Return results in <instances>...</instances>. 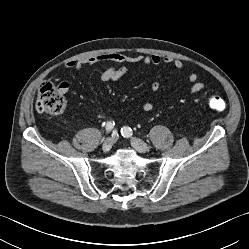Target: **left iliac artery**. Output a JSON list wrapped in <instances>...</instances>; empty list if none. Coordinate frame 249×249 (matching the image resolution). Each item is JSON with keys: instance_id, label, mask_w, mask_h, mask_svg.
Instances as JSON below:
<instances>
[{"instance_id": "left-iliac-artery-1", "label": "left iliac artery", "mask_w": 249, "mask_h": 249, "mask_svg": "<svg viewBox=\"0 0 249 249\" xmlns=\"http://www.w3.org/2000/svg\"><path fill=\"white\" fill-rule=\"evenodd\" d=\"M132 129L130 127H123L121 129V134L124 136V137H129L132 135Z\"/></svg>"}]
</instances>
